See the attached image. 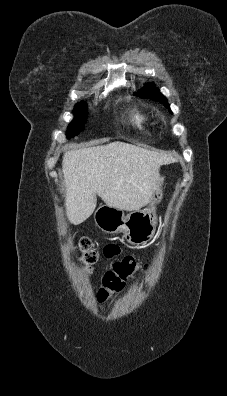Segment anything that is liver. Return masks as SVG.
I'll return each instance as SVG.
<instances>
[{"label":"liver","mask_w":227,"mask_h":396,"mask_svg":"<svg viewBox=\"0 0 227 396\" xmlns=\"http://www.w3.org/2000/svg\"><path fill=\"white\" fill-rule=\"evenodd\" d=\"M174 161L165 153L120 141L66 152L62 169L69 221L78 225L87 220L96 208V195L126 211L147 205L161 180L160 166Z\"/></svg>","instance_id":"6515ba94"}]
</instances>
